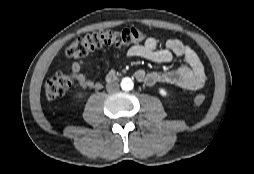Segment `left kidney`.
Instances as JSON below:
<instances>
[{
	"mask_svg": "<svg viewBox=\"0 0 254 174\" xmlns=\"http://www.w3.org/2000/svg\"><path fill=\"white\" fill-rule=\"evenodd\" d=\"M159 93H160V95L163 96V97L168 96V93H167V91H166L164 88H160V89H159Z\"/></svg>",
	"mask_w": 254,
	"mask_h": 174,
	"instance_id": "1",
	"label": "left kidney"
}]
</instances>
